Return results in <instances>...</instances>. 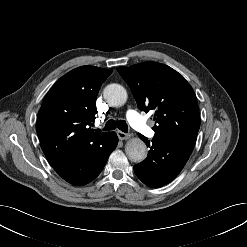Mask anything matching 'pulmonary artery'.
Instances as JSON below:
<instances>
[{"label": "pulmonary artery", "instance_id": "obj_1", "mask_svg": "<svg viewBox=\"0 0 247 247\" xmlns=\"http://www.w3.org/2000/svg\"><path fill=\"white\" fill-rule=\"evenodd\" d=\"M127 119L136 130L144 135L148 137H152L154 135L153 129L146 124L143 118L136 111L128 110Z\"/></svg>", "mask_w": 247, "mask_h": 247}]
</instances>
